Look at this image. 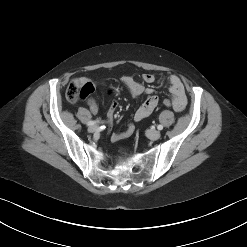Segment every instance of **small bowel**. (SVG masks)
<instances>
[{
  "label": "small bowel",
  "mask_w": 247,
  "mask_h": 247,
  "mask_svg": "<svg viewBox=\"0 0 247 247\" xmlns=\"http://www.w3.org/2000/svg\"><path fill=\"white\" fill-rule=\"evenodd\" d=\"M142 79L145 83L151 84L155 81V75L146 73L143 74ZM74 82L80 85L90 84L93 87V89L95 87L94 83H92L87 77H79L75 79ZM121 82L133 97H139L142 95L148 96L146 100L136 110L134 114V120L141 121L148 117L158 105V98L155 95H153V89L151 87L144 86L142 83L136 81L130 76H123L121 78ZM168 82L170 92L172 95L171 100L174 103V109L180 112L185 108L187 104V97L185 93L184 84L182 80L176 75L170 76ZM87 103L91 113L96 114L98 112V105L96 101L93 98H90L88 99ZM117 108L118 103L116 101H113L108 110L109 116H113L116 113ZM133 130L134 127L132 124H130L126 131L113 134L112 139L119 140L121 138L129 136L130 134H132Z\"/></svg>",
  "instance_id": "small-bowel-1"
}]
</instances>
